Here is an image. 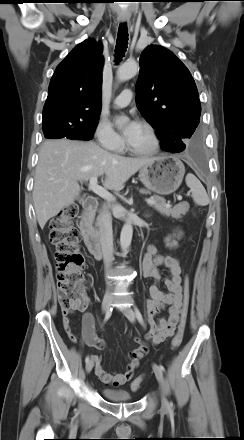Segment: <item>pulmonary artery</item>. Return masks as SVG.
<instances>
[{"label": "pulmonary artery", "instance_id": "e3ab8cb5", "mask_svg": "<svg viewBox=\"0 0 244 440\" xmlns=\"http://www.w3.org/2000/svg\"><path fill=\"white\" fill-rule=\"evenodd\" d=\"M133 93L131 90H123L114 101V107L119 109L126 107L132 100Z\"/></svg>", "mask_w": 244, "mask_h": 440}]
</instances>
